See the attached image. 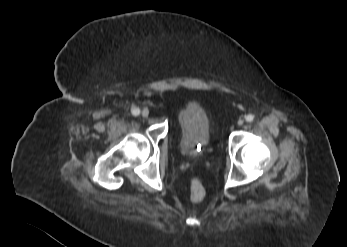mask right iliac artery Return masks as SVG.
Segmentation results:
<instances>
[{
  "instance_id": "82829eb1",
  "label": "right iliac artery",
  "mask_w": 347,
  "mask_h": 247,
  "mask_svg": "<svg viewBox=\"0 0 347 247\" xmlns=\"http://www.w3.org/2000/svg\"><path fill=\"white\" fill-rule=\"evenodd\" d=\"M131 113H132L134 116H137V115L140 114V109L137 108V107H133V108L131 109Z\"/></svg>"
}]
</instances>
